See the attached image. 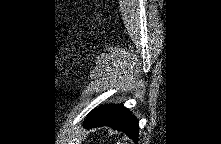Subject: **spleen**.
Wrapping results in <instances>:
<instances>
[{
  "label": "spleen",
  "instance_id": "spleen-1",
  "mask_svg": "<svg viewBox=\"0 0 221 144\" xmlns=\"http://www.w3.org/2000/svg\"><path fill=\"white\" fill-rule=\"evenodd\" d=\"M116 144H121L120 142H117Z\"/></svg>",
  "mask_w": 221,
  "mask_h": 144
}]
</instances>
